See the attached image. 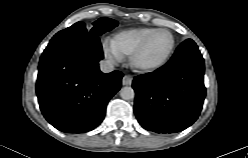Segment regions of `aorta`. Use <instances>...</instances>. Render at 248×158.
Returning a JSON list of instances; mask_svg holds the SVG:
<instances>
[{
    "instance_id": "obj_1",
    "label": "aorta",
    "mask_w": 248,
    "mask_h": 158,
    "mask_svg": "<svg viewBox=\"0 0 248 158\" xmlns=\"http://www.w3.org/2000/svg\"><path fill=\"white\" fill-rule=\"evenodd\" d=\"M120 96L124 100H132L135 97V92L131 87H123L120 90Z\"/></svg>"
}]
</instances>
